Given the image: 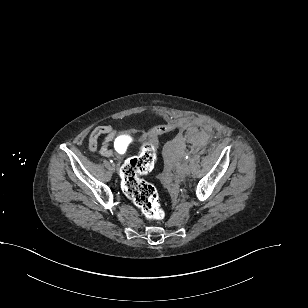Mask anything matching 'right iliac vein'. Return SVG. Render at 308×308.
Listing matches in <instances>:
<instances>
[{"label":"right iliac vein","mask_w":308,"mask_h":308,"mask_svg":"<svg viewBox=\"0 0 308 308\" xmlns=\"http://www.w3.org/2000/svg\"><path fill=\"white\" fill-rule=\"evenodd\" d=\"M111 168H112V170H116V165L113 163L112 165H111Z\"/></svg>","instance_id":"1"}]
</instances>
